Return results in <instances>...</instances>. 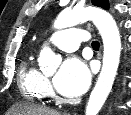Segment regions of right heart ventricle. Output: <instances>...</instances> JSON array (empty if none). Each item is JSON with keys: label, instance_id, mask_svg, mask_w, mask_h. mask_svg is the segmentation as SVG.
I'll list each match as a JSON object with an SVG mask.
<instances>
[{"label": "right heart ventricle", "instance_id": "e07e8e85", "mask_svg": "<svg viewBox=\"0 0 131 115\" xmlns=\"http://www.w3.org/2000/svg\"><path fill=\"white\" fill-rule=\"evenodd\" d=\"M45 78L35 66L31 58H26L20 65L18 72V85L23 97L36 101L46 95L44 89Z\"/></svg>", "mask_w": 131, "mask_h": 115}]
</instances>
